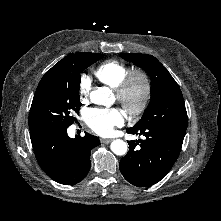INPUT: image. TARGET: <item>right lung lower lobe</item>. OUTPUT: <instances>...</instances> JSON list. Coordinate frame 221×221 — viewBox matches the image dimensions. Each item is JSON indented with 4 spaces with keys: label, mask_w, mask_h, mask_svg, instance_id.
Returning <instances> with one entry per match:
<instances>
[{
    "label": "right lung lower lobe",
    "mask_w": 221,
    "mask_h": 221,
    "mask_svg": "<svg viewBox=\"0 0 221 221\" xmlns=\"http://www.w3.org/2000/svg\"><path fill=\"white\" fill-rule=\"evenodd\" d=\"M68 126L30 132L36 159L42 170L64 185L79 183L88 174L91 150L100 144L99 138L85 132L84 137L70 138Z\"/></svg>",
    "instance_id": "1"
}]
</instances>
